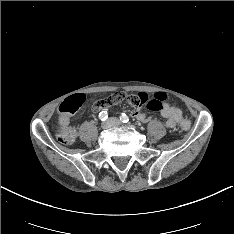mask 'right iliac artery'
I'll return each mask as SVG.
<instances>
[{
  "label": "right iliac artery",
  "instance_id": "right-iliac-artery-1",
  "mask_svg": "<svg viewBox=\"0 0 234 234\" xmlns=\"http://www.w3.org/2000/svg\"><path fill=\"white\" fill-rule=\"evenodd\" d=\"M99 118H100V120H102V121L106 120V119L108 118V113H107V111H102V112H100Z\"/></svg>",
  "mask_w": 234,
  "mask_h": 234
}]
</instances>
